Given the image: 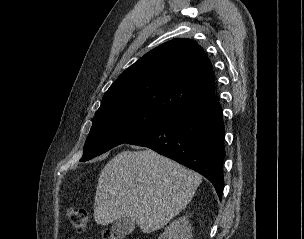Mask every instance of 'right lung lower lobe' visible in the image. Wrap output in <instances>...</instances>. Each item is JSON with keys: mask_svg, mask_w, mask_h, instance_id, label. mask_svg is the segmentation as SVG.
Returning a JSON list of instances; mask_svg holds the SVG:
<instances>
[{"mask_svg": "<svg viewBox=\"0 0 304 239\" xmlns=\"http://www.w3.org/2000/svg\"><path fill=\"white\" fill-rule=\"evenodd\" d=\"M224 137L221 105L213 95L127 143L151 148L202 174L221 200Z\"/></svg>", "mask_w": 304, "mask_h": 239, "instance_id": "1", "label": "right lung lower lobe"}]
</instances>
